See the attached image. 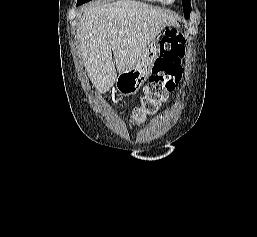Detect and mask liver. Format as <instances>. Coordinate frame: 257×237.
I'll return each instance as SVG.
<instances>
[{
  "label": "liver",
  "mask_w": 257,
  "mask_h": 237,
  "mask_svg": "<svg viewBox=\"0 0 257 237\" xmlns=\"http://www.w3.org/2000/svg\"><path fill=\"white\" fill-rule=\"evenodd\" d=\"M176 24L165 11L132 0L88 7L77 32L84 65L98 92L109 91L117 72L134 67L147 45Z\"/></svg>",
  "instance_id": "6515ba94"
}]
</instances>
